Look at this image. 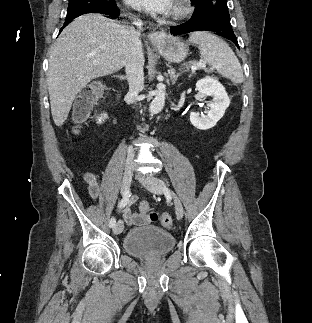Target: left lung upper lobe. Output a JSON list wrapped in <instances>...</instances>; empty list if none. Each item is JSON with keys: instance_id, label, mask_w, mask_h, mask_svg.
<instances>
[{"instance_id": "5c2ea615", "label": "left lung upper lobe", "mask_w": 312, "mask_h": 323, "mask_svg": "<svg viewBox=\"0 0 312 323\" xmlns=\"http://www.w3.org/2000/svg\"><path fill=\"white\" fill-rule=\"evenodd\" d=\"M195 5L194 13L189 21L203 19L207 15L226 14L229 15L227 0H191Z\"/></svg>"}]
</instances>
